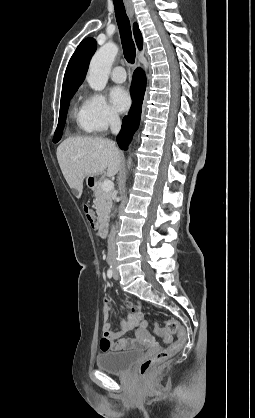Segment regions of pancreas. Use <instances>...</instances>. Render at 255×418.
I'll list each match as a JSON object with an SVG mask.
<instances>
[{
    "label": "pancreas",
    "mask_w": 255,
    "mask_h": 418,
    "mask_svg": "<svg viewBox=\"0 0 255 418\" xmlns=\"http://www.w3.org/2000/svg\"><path fill=\"white\" fill-rule=\"evenodd\" d=\"M104 181V179L100 180L94 189V204L99 220L107 217L112 207V191L106 192L102 189Z\"/></svg>",
    "instance_id": "cf45deb5"
}]
</instances>
